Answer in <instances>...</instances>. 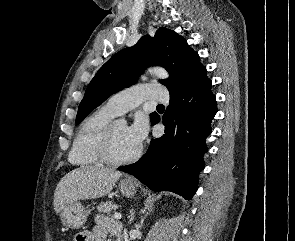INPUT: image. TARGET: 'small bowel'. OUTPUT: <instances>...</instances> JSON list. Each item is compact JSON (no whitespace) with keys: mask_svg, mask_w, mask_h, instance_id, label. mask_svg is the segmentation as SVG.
<instances>
[{"mask_svg":"<svg viewBox=\"0 0 295 241\" xmlns=\"http://www.w3.org/2000/svg\"><path fill=\"white\" fill-rule=\"evenodd\" d=\"M123 226L105 214H98L95 217V227L92 231H85L84 241H107L109 234L115 236L116 241H122Z\"/></svg>","mask_w":295,"mask_h":241,"instance_id":"c3829d8e","label":"small bowel"}]
</instances>
